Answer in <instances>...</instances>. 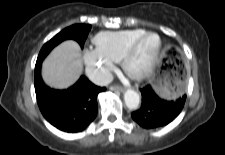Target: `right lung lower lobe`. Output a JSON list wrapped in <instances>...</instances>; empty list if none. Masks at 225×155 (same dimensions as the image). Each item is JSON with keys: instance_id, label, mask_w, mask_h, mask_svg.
<instances>
[{"instance_id": "obj_1", "label": "right lung lower lobe", "mask_w": 225, "mask_h": 155, "mask_svg": "<svg viewBox=\"0 0 225 155\" xmlns=\"http://www.w3.org/2000/svg\"><path fill=\"white\" fill-rule=\"evenodd\" d=\"M42 62L35 66V92L45 119L56 128L69 133L84 130L97 115V95L106 88L95 86L85 76L66 90L51 89L40 76Z\"/></svg>"}]
</instances>
